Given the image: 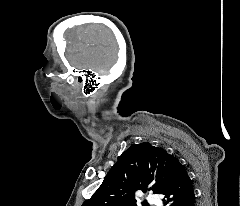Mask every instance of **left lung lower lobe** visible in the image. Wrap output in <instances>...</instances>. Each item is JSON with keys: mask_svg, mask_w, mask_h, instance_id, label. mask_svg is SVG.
Wrapping results in <instances>:
<instances>
[{"mask_svg": "<svg viewBox=\"0 0 240 206\" xmlns=\"http://www.w3.org/2000/svg\"><path fill=\"white\" fill-rule=\"evenodd\" d=\"M164 206H195V192L186 169L177 161L174 175L165 191Z\"/></svg>", "mask_w": 240, "mask_h": 206, "instance_id": "left-lung-lower-lobe-1", "label": "left lung lower lobe"}]
</instances>
